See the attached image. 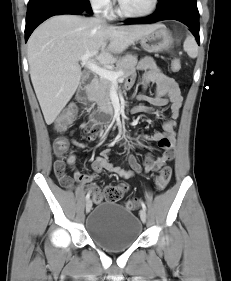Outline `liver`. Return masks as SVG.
<instances>
[{
  "label": "liver",
  "mask_w": 231,
  "mask_h": 281,
  "mask_svg": "<svg viewBox=\"0 0 231 281\" xmlns=\"http://www.w3.org/2000/svg\"><path fill=\"white\" fill-rule=\"evenodd\" d=\"M160 24L110 26L98 18L58 15L42 23L28 40L31 81L44 119L52 124L74 95L83 75L86 53L101 65L117 61L115 54L154 31ZM100 51V52H99Z\"/></svg>",
  "instance_id": "1"
}]
</instances>
